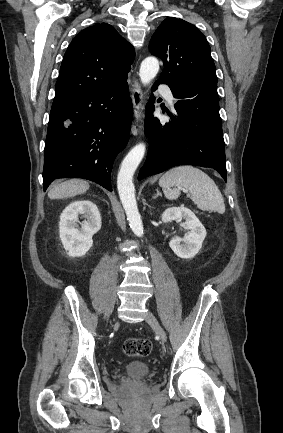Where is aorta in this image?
<instances>
[{"mask_svg": "<svg viewBox=\"0 0 283 433\" xmlns=\"http://www.w3.org/2000/svg\"><path fill=\"white\" fill-rule=\"evenodd\" d=\"M159 71V62L155 57L145 58L140 66L139 76L142 84L148 85ZM146 151V145L139 143L134 146L124 158L118 176L117 188L125 210L127 220L133 233L141 237L143 235V224L137 208L133 175L142 161Z\"/></svg>", "mask_w": 283, "mask_h": 433, "instance_id": "1", "label": "aorta"}]
</instances>
